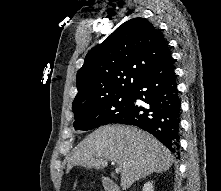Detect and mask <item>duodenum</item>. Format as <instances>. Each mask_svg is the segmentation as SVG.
Wrapping results in <instances>:
<instances>
[{
    "mask_svg": "<svg viewBox=\"0 0 221 191\" xmlns=\"http://www.w3.org/2000/svg\"><path fill=\"white\" fill-rule=\"evenodd\" d=\"M101 184L105 191H120L119 186L108 176L101 178Z\"/></svg>",
    "mask_w": 221,
    "mask_h": 191,
    "instance_id": "410a0bca",
    "label": "duodenum"
}]
</instances>
